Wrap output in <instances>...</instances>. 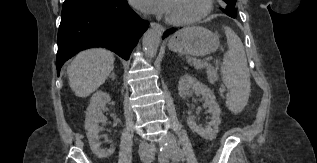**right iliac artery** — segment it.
I'll use <instances>...</instances> for the list:
<instances>
[{"instance_id":"obj_1","label":"right iliac artery","mask_w":317,"mask_h":163,"mask_svg":"<svg viewBox=\"0 0 317 163\" xmlns=\"http://www.w3.org/2000/svg\"><path fill=\"white\" fill-rule=\"evenodd\" d=\"M165 160V154L163 152L160 153L159 157H158V161L160 163H163V161Z\"/></svg>"}]
</instances>
